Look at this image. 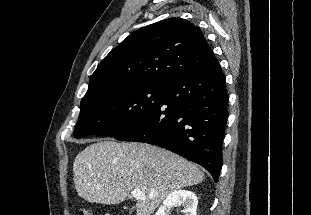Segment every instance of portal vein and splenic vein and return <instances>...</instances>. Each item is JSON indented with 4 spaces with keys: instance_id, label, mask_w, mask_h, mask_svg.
<instances>
[{
    "instance_id": "1",
    "label": "portal vein and splenic vein",
    "mask_w": 311,
    "mask_h": 215,
    "mask_svg": "<svg viewBox=\"0 0 311 215\" xmlns=\"http://www.w3.org/2000/svg\"><path fill=\"white\" fill-rule=\"evenodd\" d=\"M131 195L133 198L139 200H145L146 199V196L140 191V190H137V189H134L132 192H131Z\"/></svg>"
}]
</instances>
